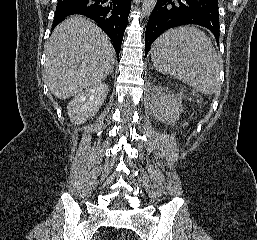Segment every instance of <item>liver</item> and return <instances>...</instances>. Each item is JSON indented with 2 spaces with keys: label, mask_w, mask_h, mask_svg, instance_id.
I'll use <instances>...</instances> for the list:
<instances>
[{
  "label": "liver",
  "mask_w": 257,
  "mask_h": 240,
  "mask_svg": "<svg viewBox=\"0 0 257 240\" xmlns=\"http://www.w3.org/2000/svg\"><path fill=\"white\" fill-rule=\"evenodd\" d=\"M46 50L45 81L59 99L99 85L115 61V51L105 33L77 15L54 29Z\"/></svg>",
  "instance_id": "obj_1"
}]
</instances>
